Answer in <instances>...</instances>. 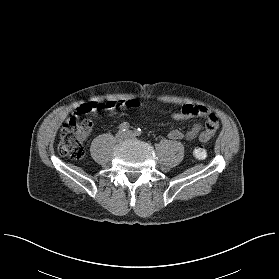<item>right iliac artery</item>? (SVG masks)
<instances>
[{
	"instance_id": "1",
	"label": "right iliac artery",
	"mask_w": 279,
	"mask_h": 279,
	"mask_svg": "<svg viewBox=\"0 0 279 279\" xmlns=\"http://www.w3.org/2000/svg\"><path fill=\"white\" fill-rule=\"evenodd\" d=\"M119 131L124 132L129 129V123L128 122H123L119 125Z\"/></svg>"
}]
</instances>
